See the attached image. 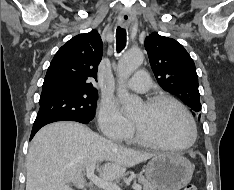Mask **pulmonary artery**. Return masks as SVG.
I'll use <instances>...</instances> for the list:
<instances>
[{
  "instance_id": "1",
  "label": "pulmonary artery",
  "mask_w": 234,
  "mask_h": 190,
  "mask_svg": "<svg viewBox=\"0 0 234 190\" xmlns=\"http://www.w3.org/2000/svg\"><path fill=\"white\" fill-rule=\"evenodd\" d=\"M130 89L137 92H146L151 86V81L147 72L139 70L136 75L125 83Z\"/></svg>"
}]
</instances>
